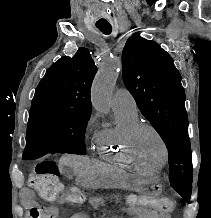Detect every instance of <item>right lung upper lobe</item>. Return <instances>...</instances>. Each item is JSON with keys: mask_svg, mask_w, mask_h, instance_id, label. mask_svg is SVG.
Wrapping results in <instances>:
<instances>
[{"mask_svg": "<svg viewBox=\"0 0 211 218\" xmlns=\"http://www.w3.org/2000/svg\"><path fill=\"white\" fill-rule=\"evenodd\" d=\"M97 72L86 48L73 57H62L40 81L32 106H51L91 111L90 89Z\"/></svg>", "mask_w": 211, "mask_h": 218, "instance_id": "obj_1", "label": "right lung upper lobe"}]
</instances>
